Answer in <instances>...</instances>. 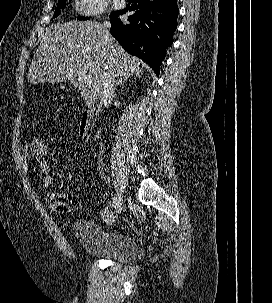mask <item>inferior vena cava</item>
Wrapping results in <instances>:
<instances>
[{"mask_svg":"<svg viewBox=\"0 0 272 303\" xmlns=\"http://www.w3.org/2000/svg\"><path fill=\"white\" fill-rule=\"evenodd\" d=\"M103 27L105 28L107 38L110 37L109 29L111 24L108 21L103 23ZM114 77L112 73H107L103 77V90L101 94V103L108 107L112 103V99L114 96Z\"/></svg>","mask_w":272,"mask_h":303,"instance_id":"602c4592","label":"inferior vena cava"}]
</instances>
